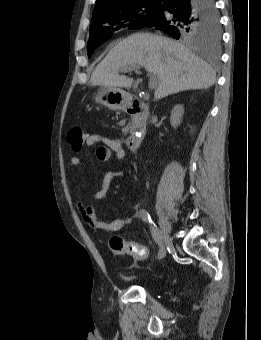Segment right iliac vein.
I'll list each match as a JSON object with an SVG mask.
<instances>
[{"mask_svg": "<svg viewBox=\"0 0 261 340\" xmlns=\"http://www.w3.org/2000/svg\"><path fill=\"white\" fill-rule=\"evenodd\" d=\"M158 221L162 232V239L166 244H169L171 242L170 224L163 214L159 215Z\"/></svg>", "mask_w": 261, "mask_h": 340, "instance_id": "63e3f726", "label": "right iliac vein"}]
</instances>
